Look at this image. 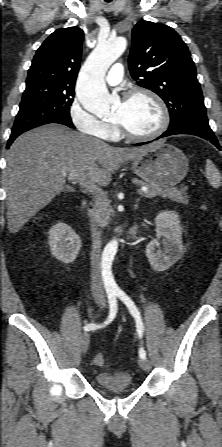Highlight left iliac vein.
<instances>
[{"label":"left iliac vein","mask_w":222,"mask_h":447,"mask_svg":"<svg viewBox=\"0 0 222 447\" xmlns=\"http://www.w3.org/2000/svg\"><path fill=\"white\" fill-rule=\"evenodd\" d=\"M139 365L145 371H149L151 368L150 362L146 358H140Z\"/></svg>","instance_id":"4c4485c4"}]
</instances>
